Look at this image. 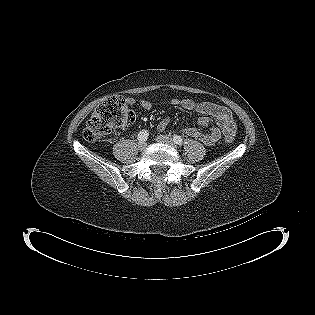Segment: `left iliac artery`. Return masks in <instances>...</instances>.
Listing matches in <instances>:
<instances>
[{"mask_svg":"<svg viewBox=\"0 0 315 315\" xmlns=\"http://www.w3.org/2000/svg\"><path fill=\"white\" fill-rule=\"evenodd\" d=\"M173 141H174L176 144H178V145H182V143H183V140H182L181 136H178V135H174V136H173Z\"/></svg>","mask_w":315,"mask_h":315,"instance_id":"obj_1","label":"left iliac artery"}]
</instances>
